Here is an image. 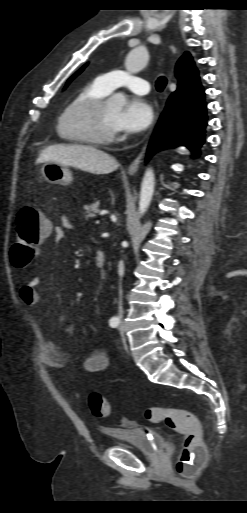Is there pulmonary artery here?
I'll use <instances>...</instances> for the list:
<instances>
[{
    "label": "pulmonary artery",
    "instance_id": "1",
    "mask_svg": "<svg viewBox=\"0 0 247 513\" xmlns=\"http://www.w3.org/2000/svg\"><path fill=\"white\" fill-rule=\"evenodd\" d=\"M98 83L108 92L118 87H126L134 93L144 95L150 90V84L142 78L132 76L123 70H114L96 78Z\"/></svg>",
    "mask_w": 247,
    "mask_h": 513
}]
</instances>
